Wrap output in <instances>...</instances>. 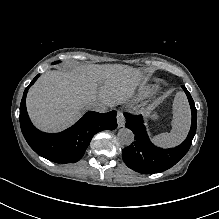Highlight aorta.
Listing matches in <instances>:
<instances>
[{"instance_id": "aorta-1", "label": "aorta", "mask_w": 219, "mask_h": 219, "mask_svg": "<svg viewBox=\"0 0 219 219\" xmlns=\"http://www.w3.org/2000/svg\"><path fill=\"white\" fill-rule=\"evenodd\" d=\"M117 138L120 144L129 146L134 141V133L128 128H122L118 131Z\"/></svg>"}]
</instances>
